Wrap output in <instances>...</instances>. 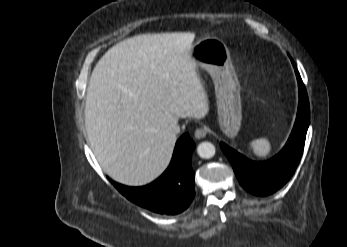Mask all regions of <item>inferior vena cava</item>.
<instances>
[{
    "mask_svg": "<svg viewBox=\"0 0 347 247\" xmlns=\"http://www.w3.org/2000/svg\"><path fill=\"white\" fill-rule=\"evenodd\" d=\"M169 131L176 135L180 132V127L177 125V124H172L170 127H169Z\"/></svg>",
    "mask_w": 347,
    "mask_h": 247,
    "instance_id": "1",
    "label": "inferior vena cava"
}]
</instances>
